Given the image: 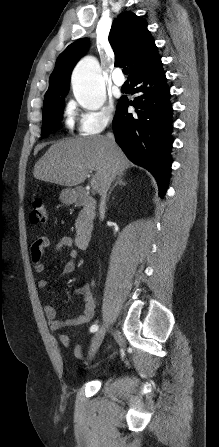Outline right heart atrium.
<instances>
[{
    "instance_id": "1",
    "label": "right heart atrium",
    "mask_w": 219,
    "mask_h": 447,
    "mask_svg": "<svg viewBox=\"0 0 219 447\" xmlns=\"http://www.w3.org/2000/svg\"><path fill=\"white\" fill-rule=\"evenodd\" d=\"M112 103L102 105L97 111L82 113L79 119V131L82 135H93L102 132L114 119Z\"/></svg>"
}]
</instances>
